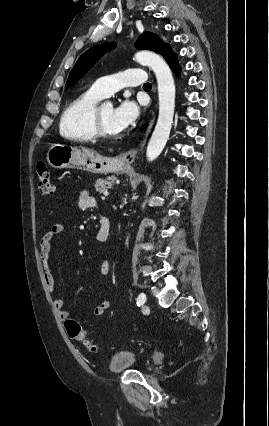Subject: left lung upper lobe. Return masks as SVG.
I'll list each match as a JSON object with an SVG mask.
<instances>
[{
	"instance_id": "obj_1",
	"label": "left lung upper lobe",
	"mask_w": 269,
	"mask_h": 426,
	"mask_svg": "<svg viewBox=\"0 0 269 426\" xmlns=\"http://www.w3.org/2000/svg\"><path fill=\"white\" fill-rule=\"evenodd\" d=\"M167 45L156 34L150 32H144L136 43L137 48L152 50L156 53H161ZM113 47V43H106L92 47L83 53L71 70L65 88L73 86L106 51Z\"/></svg>"
}]
</instances>
